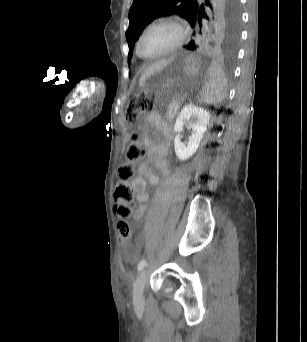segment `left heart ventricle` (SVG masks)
<instances>
[{
	"label": "left heart ventricle",
	"mask_w": 307,
	"mask_h": 342,
	"mask_svg": "<svg viewBox=\"0 0 307 342\" xmlns=\"http://www.w3.org/2000/svg\"><path fill=\"white\" fill-rule=\"evenodd\" d=\"M177 39L175 28L169 23H157L144 34L141 51L146 57H153L169 48Z\"/></svg>",
	"instance_id": "1"
}]
</instances>
